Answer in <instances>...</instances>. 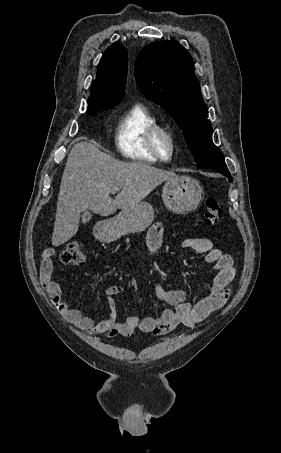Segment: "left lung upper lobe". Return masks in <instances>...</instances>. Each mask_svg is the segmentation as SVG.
Masks as SVG:
<instances>
[{"label":"left lung upper lobe","mask_w":281,"mask_h":453,"mask_svg":"<svg viewBox=\"0 0 281 453\" xmlns=\"http://www.w3.org/2000/svg\"><path fill=\"white\" fill-rule=\"evenodd\" d=\"M135 78L141 92L161 105L183 130L198 168L227 169L222 152L212 142L208 108L192 58L182 45L173 40L146 45L136 59Z\"/></svg>","instance_id":"5c2ea615"}]
</instances>
